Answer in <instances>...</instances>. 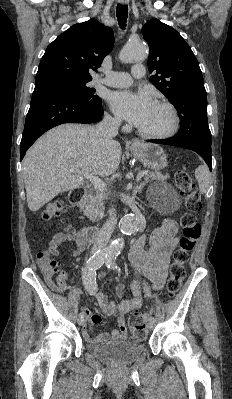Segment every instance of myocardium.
Wrapping results in <instances>:
<instances>
[{
    "label": "myocardium",
    "instance_id": "f54148a6",
    "mask_svg": "<svg viewBox=\"0 0 232 399\" xmlns=\"http://www.w3.org/2000/svg\"><path fill=\"white\" fill-rule=\"evenodd\" d=\"M154 103L157 104V105H160V106H164L170 111L171 118H172V122H171L170 128L166 132L158 134V135L145 134V133L139 131L136 128V134L140 138H142L144 140H147V141H162V140H166V139L172 137L173 135H175L176 132L178 131L179 123H180L179 114H178V111H177L176 107L173 104H171V103H169L167 101L156 100Z\"/></svg>",
    "mask_w": 232,
    "mask_h": 399
}]
</instances>
